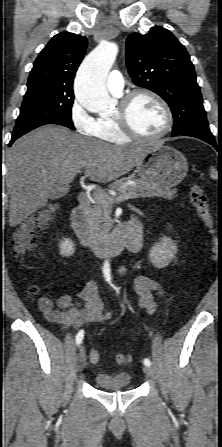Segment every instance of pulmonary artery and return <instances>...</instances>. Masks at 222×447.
Here are the masks:
<instances>
[{"label": "pulmonary artery", "mask_w": 222, "mask_h": 447, "mask_svg": "<svg viewBox=\"0 0 222 447\" xmlns=\"http://www.w3.org/2000/svg\"><path fill=\"white\" fill-rule=\"evenodd\" d=\"M107 87L112 94L114 95L121 94L124 87V79L119 71L114 70L110 73L107 80Z\"/></svg>", "instance_id": "e3ab8cb5"}]
</instances>
